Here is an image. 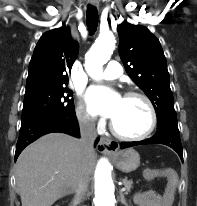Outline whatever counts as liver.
I'll list each match as a JSON object with an SVG mask.
<instances>
[{"label":"liver","instance_id":"6515ba94","mask_svg":"<svg viewBox=\"0 0 197 206\" xmlns=\"http://www.w3.org/2000/svg\"><path fill=\"white\" fill-rule=\"evenodd\" d=\"M95 152L85 155L89 179ZM83 154L81 141L63 133H50L26 147L16 163V184L22 206H51L72 193L78 183Z\"/></svg>","mask_w":197,"mask_h":206}]
</instances>
